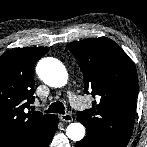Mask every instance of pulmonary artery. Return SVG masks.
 <instances>
[{"instance_id":"e3ab8cb5","label":"pulmonary artery","mask_w":147,"mask_h":147,"mask_svg":"<svg viewBox=\"0 0 147 147\" xmlns=\"http://www.w3.org/2000/svg\"><path fill=\"white\" fill-rule=\"evenodd\" d=\"M69 100H70V102L72 103L73 106H75V107L79 106L80 100L74 94L69 93Z\"/></svg>"}]
</instances>
